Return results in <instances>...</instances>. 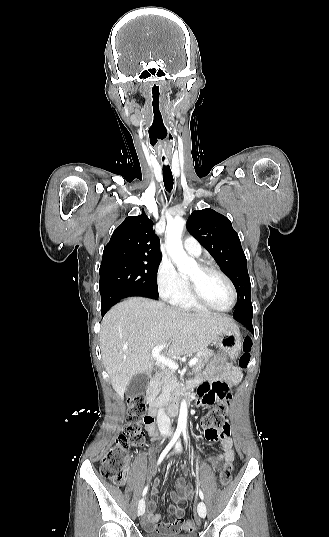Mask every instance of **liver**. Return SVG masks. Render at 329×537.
Wrapping results in <instances>:
<instances>
[{
  "label": "liver",
  "mask_w": 329,
  "mask_h": 537,
  "mask_svg": "<svg viewBox=\"0 0 329 537\" xmlns=\"http://www.w3.org/2000/svg\"><path fill=\"white\" fill-rule=\"evenodd\" d=\"M234 326L229 317L184 313L142 297L116 304L100 329L102 359L113 389L123 399L132 377L152 370L153 347L166 345L163 355L171 358L193 354Z\"/></svg>",
  "instance_id": "6515ba94"
}]
</instances>
